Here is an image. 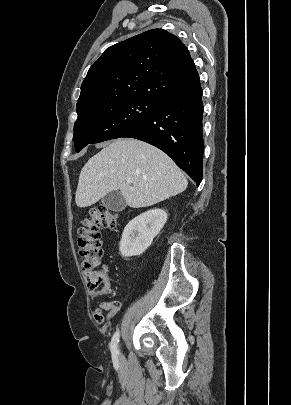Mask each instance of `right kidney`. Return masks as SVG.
I'll use <instances>...</instances> for the list:
<instances>
[{"instance_id": "right-kidney-1", "label": "right kidney", "mask_w": 291, "mask_h": 405, "mask_svg": "<svg viewBox=\"0 0 291 405\" xmlns=\"http://www.w3.org/2000/svg\"><path fill=\"white\" fill-rule=\"evenodd\" d=\"M167 220L162 209H152L132 219L124 228L120 241L123 257L141 255L151 245Z\"/></svg>"}]
</instances>
